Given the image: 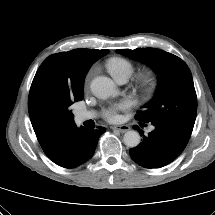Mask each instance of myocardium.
I'll return each instance as SVG.
<instances>
[{
  "instance_id": "obj_1",
  "label": "myocardium",
  "mask_w": 215,
  "mask_h": 215,
  "mask_svg": "<svg viewBox=\"0 0 215 215\" xmlns=\"http://www.w3.org/2000/svg\"><path fill=\"white\" fill-rule=\"evenodd\" d=\"M135 87L144 95L153 92L156 84V72L152 68H146L135 76Z\"/></svg>"
}]
</instances>
